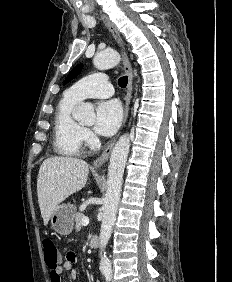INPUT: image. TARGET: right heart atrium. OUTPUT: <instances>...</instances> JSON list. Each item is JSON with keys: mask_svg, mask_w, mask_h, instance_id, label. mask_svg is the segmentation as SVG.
<instances>
[{"mask_svg": "<svg viewBox=\"0 0 232 282\" xmlns=\"http://www.w3.org/2000/svg\"><path fill=\"white\" fill-rule=\"evenodd\" d=\"M83 138L88 144H93L95 142V136L89 129H83Z\"/></svg>", "mask_w": 232, "mask_h": 282, "instance_id": "obj_1", "label": "right heart atrium"}]
</instances>
